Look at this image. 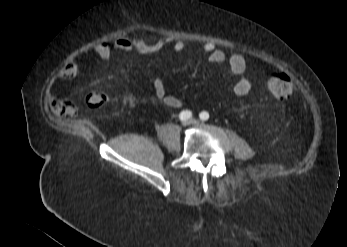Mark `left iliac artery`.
Returning a JSON list of instances; mask_svg holds the SVG:
<instances>
[{"instance_id": "left-iliac-artery-1", "label": "left iliac artery", "mask_w": 347, "mask_h": 247, "mask_svg": "<svg viewBox=\"0 0 347 247\" xmlns=\"http://www.w3.org/2000/svg\"><path fill=\"white\" fill-rule=\"evenodd\" d=\"M199 117H200V119H201L202 121H206V120L209 119V114H208V112L203 111V112L200 113Z\"/></svg>"}]
</instances>
